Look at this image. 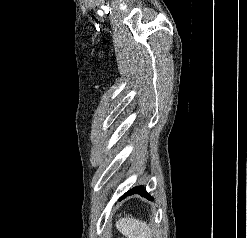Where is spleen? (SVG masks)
<instances>
[{
    "instance_id": "spleen-1",
    "label": "spleen",
    "mask_w": 247,
    "mask_h": 238,
    "mask_svg": "<svg viewBox=\"0 0 247 238\" xmlns=\"http://www.w3.org/2000/svg\"><path fill=\"white\" fill-rule=\"evenodd\" d=\"M116 228L127 238H151L152 235L146 222L133 217L120 218Z\"/></svg>"
}]
</instances>
